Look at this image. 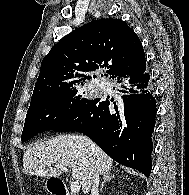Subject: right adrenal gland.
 Listing matches in <instances>:
<instances>
[{
  "label": "right adrenal gland",
  "instance_id": "1",
  "mask_svg": "<svg viewBox=\"0 0 189 195\" xmlns=\"http://www.w3.org/2000/svg\"><path fill=\"white\" fill-rule=\"evenodd\" d=\"M115 176L113 174H111V172H106L104 175H103V182L101 184V187H100V192L102 193L103 191V187H104V184L105 182L107 181H110L112 178H114Z\"/></svg>",
  "mask_w": 189,
  "mask_h": 195
}]
</instances>
